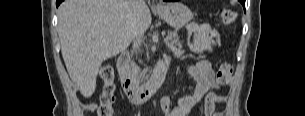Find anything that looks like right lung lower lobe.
I'll return each mask as SVG.
<instances>
[{
  "label": "right lung lower lobe",
  "instance_id": "1",
  "mask_svg": "<svg viewBox=\"0 0 305 116\" xmlns=\"http://www.w3.org/2000/svg\"><path fill=\"white\" fill-rule=\"evenodd\" d=\"M63 0H57L56 5L58 6Z\"/></svg>",
  "mask_w": 305,
  "mask_h": 116
}]
</instances>
